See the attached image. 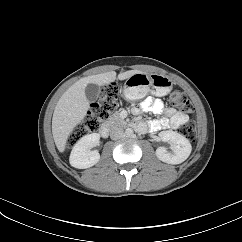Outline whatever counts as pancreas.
I'll return each mask as SVG.
<instances>
[{"instance_id": "pancreas-1", "label": "pancreas", "mask_w": 242, "mask_h": 242, "mask_svg": "<svg viewBox=\"0 0 242 242\" xmlns=\"http://www.w3.org/2000/svg\"><path fill=\"white\" fill-rule=\"evenodd\" d=\"M107 122L110 126H115V127H124L126 125V122L123 119H121L118 112L113 113L108 118Z\"/></svg>"}]
</instances>
